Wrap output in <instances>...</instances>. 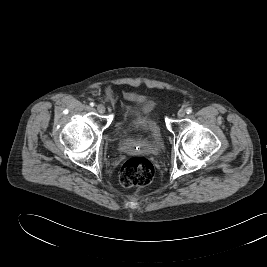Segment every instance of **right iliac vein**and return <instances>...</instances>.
I'll return each instance as SVG.
<instances>
[{
	"label": "right iliac vein",
	"mask_w": 267,
	"mask_h": 267,
	"mask_svg": "<svg viewBox=\"0 0 267 267\" xmlns=\"http://www.w3.org/2000/svg\"><path fill=\"white\" fill-rule=\"evenodd\" d=\"M96 108H97V111H98L99 113H101V114H103V113L105 112V106H104L103 104H98V105L96 106Z\"/></svg>",
	"instance_id": "1"
}]
</instances>
